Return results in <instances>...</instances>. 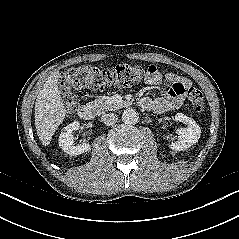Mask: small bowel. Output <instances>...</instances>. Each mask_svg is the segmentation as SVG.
Masks as SVG:
<instances>
[{"label":"small bowel","instance_id":"1","mask_svg":"<svg viewBox=\"0 0 239 239\" xmlns=\"http://www.w3.org/2000/svg\"><path fill=\"white\" fill-rule=\"evenodd\" d=\"M166 80L171 86L159 97H146L142 100V105L154 113H163L170 109L179 107L183 102V93L189 85L187 79H181L173 74H168L165 78L156 66L150 65L147 69L145 82L150 86H158Z\"/></svg>","mask_w":239,"mask_h":239}]
</instances>
